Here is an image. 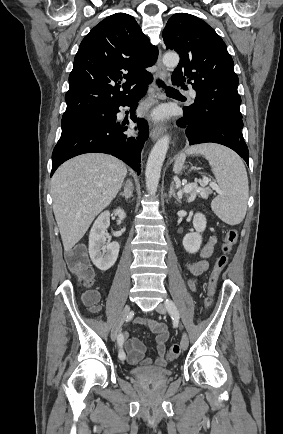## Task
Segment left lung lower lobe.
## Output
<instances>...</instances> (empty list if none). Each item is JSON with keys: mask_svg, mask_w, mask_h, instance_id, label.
<instances>
[{"mask_svg": "<svg viewBox=\"0 0 283 434\" xmlns=\"http://www.w3.org/2000/svg\"><path fill=\"white\" fill-rule=\"evenodd\" d=\"M177 124L185 129L190 145L207 142L225 145L249 165V152L242 134V118L213 110H208L197 118L184 112Z\"/></svg>", "mask_w": 283, "mask_h": 434, "instance_id": "1", "label": "left lung lower lobe"}]
</instances>
